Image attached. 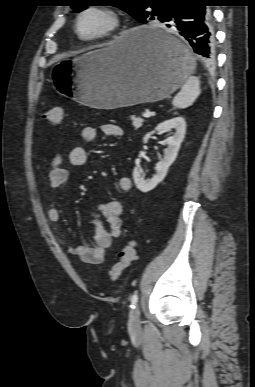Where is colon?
<instances>
[{"label": "colon", "instance_id": "obj_1", "mask_svg": "<svg viewBox=\"0 0 255 387\" xmlns=\"http://www.w3.org/2000/svg\"><path fill=\"white\" fill-rule=\"evenodd\" d=\"M44 119L53 125H61L64 120V108L60 105L50 107L44 113ZM137 243L134 240L126 242L118 252V261L109 269L110 280H117L131 265L135 258Z\"/></svg>", "mask_w": 255, "mask_h": 387}]
</instances>
